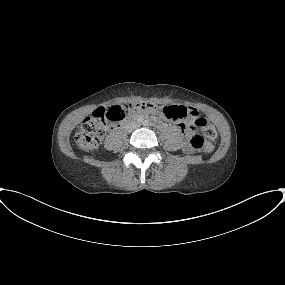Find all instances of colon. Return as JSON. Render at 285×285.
I'll use <instances>...</instances> for the list:
<instances>
[{"label": "colon", "mask_w": 285, "mask_h": 285, "mask_svg": "<svg viewBox=\"0 0 285 285\" xmlns=\"http://www.w3.org/2000/svg\"><path fill=\"white\" fill-rule=\"evenodd\" d=\"M160 112L167 119L180 121L189 115L188 109L180 105L159 106L152 101L134 102L124 105H114L109 109L98 107L88 117L84 119L78 128L75 140L78 146L83 150H90L99 145L109 124L124 120L132 112L136 111ZM196 126L203 127V133L190 131V125L184 124L185 131L184 148L186 150L206 151L212 150V144L206 138L214 139L217 135L216 129L212 125H206V121L200 117Z\"/></svg>", "instance_id": "1"}]
</instances>
